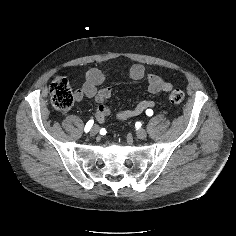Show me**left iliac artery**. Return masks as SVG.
<instances>
[{"label": "left iliac artery", "mask_w": 236, "mask_h": 236, "mask_svg": "<svg viewBox=\"0 0 236 236\" xmlns=\"http://www.w3.org/2000/svg\"><path fill=\"white\" fill-rule=\"evenodd\" d=\"M146 114L148 116H152L153 115V111L151 109H148V110H146Z\"/></svg>", "instance_id": "obj_1"}]
</instances>
